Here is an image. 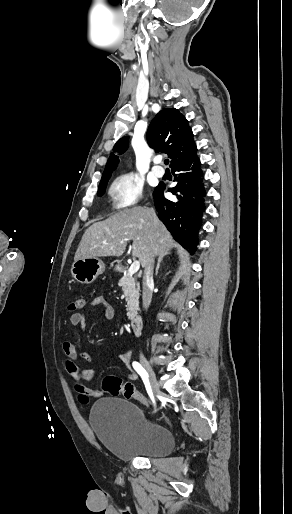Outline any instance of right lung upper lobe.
Listing matches in <instances>:
<instances>
[{"label":"right lung upper lobe","instance_id":"right-lung-upper-lobe-1","mask_svg":"<svg viewBox=\"0 0 292 514\" xmlns=\"http://www.w3.org/2000/svg\"><path fill=\"white\" fill-rule=\"evenodd\" d=\"M147 141L157 152L168 154L170 167L193 156L197 152L193 133L186 118L175 108H164L152 120L147 130ZM128 148V137H123L114 145L113 151L122 154ZM119 163L117 155L111 153L101 181L111 177Z\"/></svg>","mask_w":292,"mask_h":514}]
</instances>
